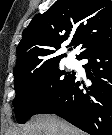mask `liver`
<instances>
[{"instance_id": "1", "label": "liver", "mask_w": 112, "mask_h": 135, "mask_svg": "<svg viewBox=\"0 0 112 135\" xmlns=\"http://www.w3.org/2000/svg\"><path fill=\"white\" fill-rule=\"evenodd\" d=\"M15 135H85L71 124L54 115H38L32 118Z\"/></svg>"}]
</instances>
